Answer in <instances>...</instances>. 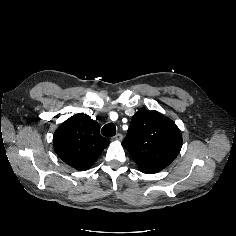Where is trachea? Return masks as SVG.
<instances>
[{
	"label": "trachea",
	"instance_id": "trachea-1",
	"mask_svg": "<svg viewBox=\"0 0 236 236\" xmlns=\"http://www.w3.org/2000/svg\"><path fill=\"white\" fill-rule=\"evenodd\" d=\"M101 134L106 137H112L116 134V126L113 123H108L101 129Z\"/></svg>",
	"mask_w": 236,
	"mask_h": 236
}]
</instances>
